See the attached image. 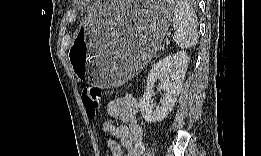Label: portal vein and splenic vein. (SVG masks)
<instances>
[{
	"label": "portal vein and splenic vein",
	"mask_w": 261,
	"mask_h": 156,
	"mask_svg": "<svg viewBox=\"0 0 261 156\" xmlns=\"http://www.w3.org/2000/svg\"><path fill=\"white\" fill-rule=\"evenodd\" d=\"M169 43H170V41L168 39H166V44H169Z\"/></svg>",
	"instance_id": "1"
}]
</instances>
